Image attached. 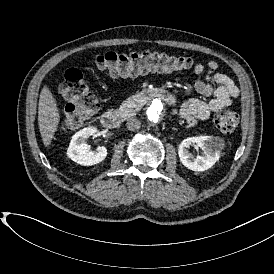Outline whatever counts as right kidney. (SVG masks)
I'll return each mask as SVG.
<instances>
[{
	"label": "right kidney",
	"mask_w": 274,
	"mask_h": 274,
	"mask_svg": "<svg viewBox=\"0 0 274 274\" xmlns=\"http://www.w3.org/2000/svg\"><path fill=\"white\" fill-rule=\"evenodd\" d=\"M97 136H99V131L94 126H89L76 132L67 149L68 158L83 166H93L104 161L108 154L107 149L100 146L93 151L91 146L87 144V139Z\"/></svg>",
	"instance_id": "right-kidney-1"
}]
</instances>
